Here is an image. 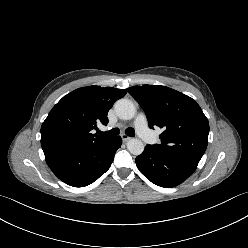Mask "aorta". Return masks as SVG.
Wrapping results in <instances>:
<instances>
[{
    "instance_id": "aorta-1",
    "label": "aorta",
    "mask_w": 248,
    "mask_h": 248,
    "mask_svg": "<svg viewBox=\"0 0 248 248\" xmlns=\"http://www.w3.org/2000/svg\"><path fill=\"white\" fill-rule=\"evenodd\" d=\"M115 112L120 119L130 120L135 116L136 108L132 101L120 99L115 105ZM127 149L133 155H140L144 151V144L140 139L133 138L128 141Z\"/></svg>"
}]
</instances>
